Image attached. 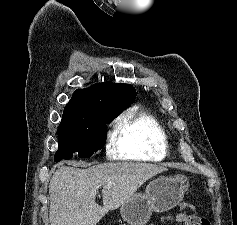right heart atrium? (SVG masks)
<instances>
[{
  "label": "right heart atrium",
  "instance_id": "1",
  "mask_svg": "<svg viewBox=\"0 0 237 225\" xmlns=\"http://www.w3.org/2000/svg\"><path fill=\"white\" fill-rule=\"evenodd\" d=\"M107 152H108V154H113V152H114L113 142H111V143L107 146Z\"/></svg>",
  "mask_w": 237,
  "mask_h": 225
}]
</instances>
